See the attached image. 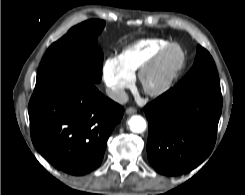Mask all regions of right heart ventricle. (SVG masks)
Listing matches in <instances>:
<instances>
[{
	"instance_id": "1",
	"label": "right heart ventricle",
	"mask_w": 245,
	"mask_h": 195,
	"mask_svg": "<svg viewBox=\"0 0 245 195\" xmlns=\"http://www.w3.org/2000/svg\"><path fill=\"white\" fill-rule=\"evenodd\" d=\"M170 44L165 39L139 40L125 47L117 59L122 68L133 77L145 63Z\"/></svg>"
}]
</instances>
